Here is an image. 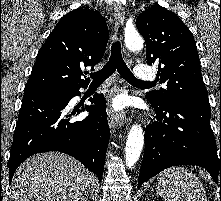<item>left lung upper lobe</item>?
I'll return each mask as SVG.
<instances>
[{"label": "left lung upper lobe", "mask_w": 221, "mask_h": 201, "mask_svg": "<svg viewBox=\"0 0 221 201\" xmlns=\"http://www.w3.org/2000/svg\"><path fill=\"white\" fill-rule=\"evenodd\" d=\"M136 26L146 42L147 63L159 64L160 83L167 86L147 97L159 105L209 104L196 43L182 20L164 7L154 6L138 16Z\"/></svg>", "instance_id": "left-lung-upper-lobe-1"}]
</instances>
